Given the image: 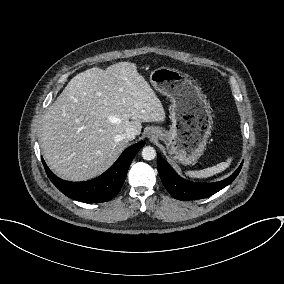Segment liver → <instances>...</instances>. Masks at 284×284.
I'll return each mask as SVG.
<instances>
[{"instance_id":"liver-1","label":"liver","mask_w":284,"mask_h":284,"mask_svg":"<svg viewBox=\"0 0 284 284\" xmlns=\"http://www.w3.org/2000/svg\"><path fill=\"white\" fill-rule=\"evenodd\" d=\"M165 111L135 63L93 67L73 77L44 115L40 140L59 177L85 181L106 171L127 146L123 134Z\"/></svg>"}]
</instances>
